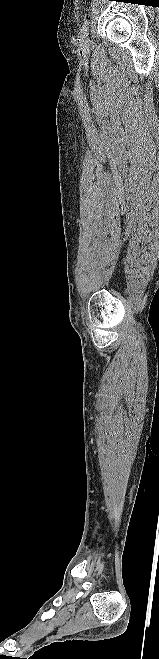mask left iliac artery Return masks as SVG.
<instances>
[{
    "label": "left iliac artery",
    "mask_w": 159,
    "mask_h": 659,
    "mask_svg": "<svg viewBox=\"0 0 159 659\" xmlns=\"http://www.w3.org/2000/svg\"><path fill=\"white\" fill-rule=\"evenodd\" d=\"M88 25H89V20L84 19L82 28H81V36L82 39H86L88 37Z\"/></svg>",
    "instance_id": "44dca946"
}]
</instances>
